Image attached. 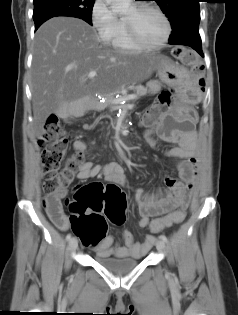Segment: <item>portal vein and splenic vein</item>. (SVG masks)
Returning a JSON list of instances; mask_svg holds the SVG:
<instances>
[{"instance_id":"1","label":"portal vein and splenic vein","mask_w":238,"mask_h":315,"mask_svg":"<svg viewBox=\"0 0 238 315\" xmlns=\"http://www.w3.org/2000/svg\"><path fill=\"white\" fill-rule=\"evenodd\" d=\"M96 75H97V73H96L95 71H91V72L88 74V78H89V79H92V78H94ZM125 99H127V100H134V99H137V96H136L135 94H131V95H128ZM112 103L117 104V103H119V100H118V99H114V100L112 101Z\"/></svg>"}]
</instances>
